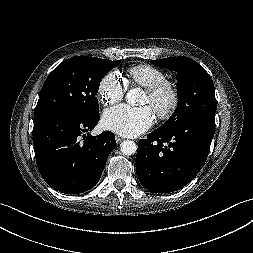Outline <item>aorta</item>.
Segmentation results:
<instances>
[{"label":"aorta","instance_id":"obj_1","mask_svg":"<svg viewBox=\"0 0 253 253\" xmlns=\"http://www.w3.org/2000/svg\"><path fill=\"white\" fill-rule=\"evenodd\" d=\"M143 91L140 88L130 89L126 94V101L129 105L134 106L140 104ZM121 152L130 156L137 151V146L134 141L125 140L120 145Z\"/></svg>","mask_w":253,"mask_h":253}]
</instances>
